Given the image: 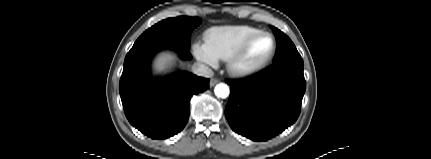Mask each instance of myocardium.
<instances>
[{"label":"myocardium","instance_id":"myocardium-1","mask_svg":"<svg viewBox=\"0 0 431 159\" xmlns=\"http://www.w3.org/2000/svg\"><path fill=\"white\" fill-rule=\"evenodd\" d=\"M259 36H267L271 39L272 47L269 53L260 61L251 64V65H243L241 64V59L246 53L247 49L249 48L250 44ZM276 40L275 37L268 31L259 30L248 37H246L239 46L229 55V57L226 59L227 62V69L230 74L237 76V77H243L250 74H253L261 69H263L265 66L269 64V62L274 57V54L276 52Z\"/></svg>","mask_w":431,"mask_h":159}]
</instances>
